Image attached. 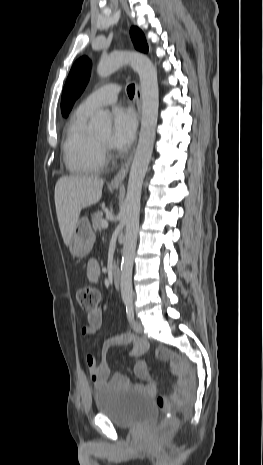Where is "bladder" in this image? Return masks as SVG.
Wrapping results in <instances>:
<instances>
[{
    "mask_svg": "<svg viewBox=\"0 0 263 465\" xmlns=\"http://www.w3.org/2000/svg\"><path fill=\"white\" fill-rule=\"evenodd\" d=\"M94 403L98 413L122 428L150 422L158 413L154 401L135 388L107 386L95 392Z\"/></svg>",
    "mask_w": 263,
    "mask_h": 465,
    "instance_id": "31cf9c89",
    "label": "bladder"
}]
</instances>
